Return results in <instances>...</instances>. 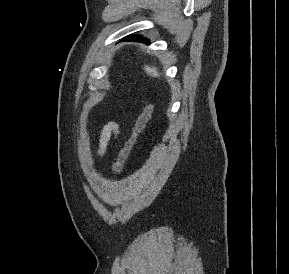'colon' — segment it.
<instances>
[{
    "label": "colon",
    "mask_w": 289,
    "mask_h": 274,
    "mask_svg": "<svg viewBox=\"0 0 289 274\" xmlns=\"http://www.w3.org/2000/svg\"><path fill=\"white\" fill-rule=\"evenodd\" d=\"M152 113H153V104L149 102L145 105L142 112L138 116L130 138L127 140L124 147L113 159L111 173L114 176L118 175L123 169L125 162L129 157L133 147L135 146L139 136L141 135L147 123L151 119Z\"/></svg>",
    "instance_id": "5ec220e1"
}]
</instances>
